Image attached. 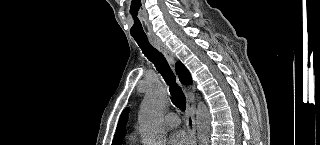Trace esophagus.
<instances>
[{"mask_svg":"<svg viewBox=\"0 0 320 145\" xmlns=\"http://www.w3.org/2000/svg\"><path fill=\"white\" fill-rule=\"evenodd\" d=\"M150 42L155 46L159 51H161L166 59L170 63H174V55L170 49L158 38H150ZM187 111H186V127L190 138L191 145L197 144L196 136V121H195V107L194 101L188 94L187 96Z\"/></svg>","mask_w":320,"mask_h":145,"instance_id":"34e87169","label":"esophagus"}]
</instances>
